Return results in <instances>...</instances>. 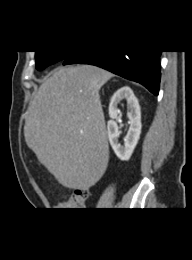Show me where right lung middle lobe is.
Wrapping results in <instances>:
<instances>
[{
    "label": "right lung middle lobe",
    "mask_w": 192,
    "mask_h": 260,
    "mask_svg": "<svg viewBox=\"0 0 192 260\" xmlns=\"http://www.w3.org/2000/svg\"><path fill=\"white\" fill-rule=\"evenodd\" d=\"M36 69L43 70L51 64L64 60L69 51H35Z\"/></svg>",
    "instance_id": "obj_1"
}]
</instances>
